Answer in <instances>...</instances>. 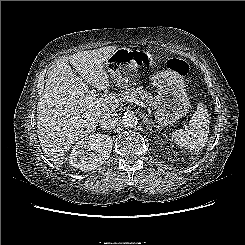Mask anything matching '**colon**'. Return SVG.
<instances>
[{
	"label": "colon",
	"mask_w": 245,
	"mask_h": 245,
	"mask_svg": "<svg viewBox=\"0 0 245 245\" xmlns=\"http://www.w3.org/2000/svg\"><path fill=\"white\" fill-rule=\"evenodd\" d=\"M167 67L180 76H186L189 73V65L185 61L177 58L169 59L167 61Z\"/></svg>",
	"instance_id": "5ec220e1"
}]
</instances>
